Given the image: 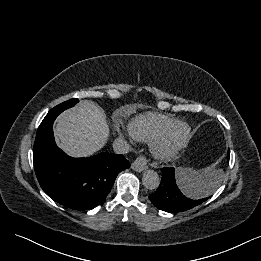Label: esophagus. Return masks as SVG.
<instances>
[{"label":"esophagus","instance_id":"obj_1","mask_svg":"<svg viewBox=\"0 0 261 261\" xmlns=\"http://www.w3.org/2000/svg\"><path fill=\"white\" fill-rule=\"evenodd\" d=\"M132 169L137 172H142L147 169V160L144 156H138L132 163Z\"/></svg>","mask_w":261,"mask_h":261}]
</instances>
